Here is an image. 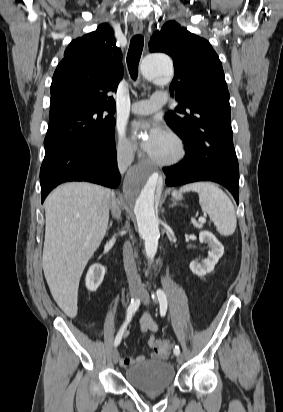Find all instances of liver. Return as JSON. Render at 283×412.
<instances>
[{
  "label": "liver",
  "instance_id": "1",
  "mask_svg": "<svg viewBox=\"0 0 283 412\" xmlns=\"http://www.w3.org/2000/svg\"><path fill=\"white\" fill-rule=\"evenodd\" d=\"M111 195L104 187L72 182L45 200L43 271L54 300L71 318L83 270L108 228Z\"/></svg>",
  "mask_w": 283,
  "mask_h": 412
}]
</instances>
